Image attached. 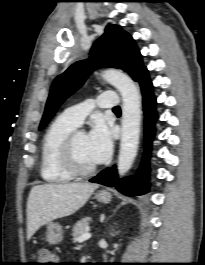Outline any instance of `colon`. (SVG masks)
<instances>
[{
	"mask_svg": "<svg viewBox=\"0 0 205 265\" xmlns=\"http://www.w3.org/2000/svg\"><path fill=\"white\" fill-rule=\"evenodd\" d=\"M36 259L39 262L38 265H55L57 257L51 251L41 249L36 253Z\"/></svg>",
	"mask_w": 205,
	"mask_h": 265,
	"instance_id": "5ec220e1",
	"label": "colon"
}]
</instances>
